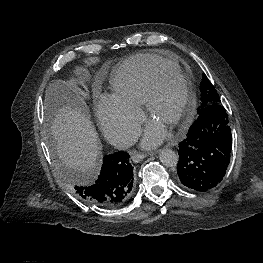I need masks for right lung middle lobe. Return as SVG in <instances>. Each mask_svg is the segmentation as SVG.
<instances>
[{
  "label": "right lung middle lobe",
  "instance_id": "1",
  "mask_svg": "<svg viewBox=\"0 0 263 263\" xmlns=\"http://www.w3.org/2000/svg\"><path fill=\"white\" fill-rule=\"evenodd\" d=\"M58 170L59 173L61 175V177L67 181L68 183H75L76 181H78V177L75 173L69 171V170H65L62 166H58Z\"/></svg>",
  "mask_w": 263,
  "mask_h": 263
}]
</instances>
